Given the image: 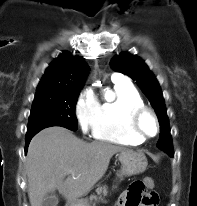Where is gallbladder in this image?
I'll list each match as a JSON object with an SVG mask.
<instances>
[{
  "mask_svg": "<svg viewBox=\"0 0 197 206\" xmlns=\"http://www.w3.org/2000/svg\"><path fill=\"white\" fill-rule=\"evenodd\" d=\"M59 199L54 194H47L43 200L42 206H57Z\"/></svg>",
  "mask_w": 197,
  "mask_h": 206,
  "instance_id": "obj_1",
  "label": "gallbladder"
}]
</instances>
